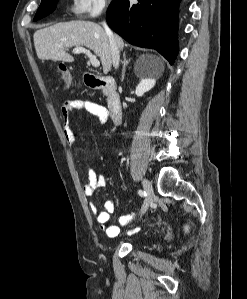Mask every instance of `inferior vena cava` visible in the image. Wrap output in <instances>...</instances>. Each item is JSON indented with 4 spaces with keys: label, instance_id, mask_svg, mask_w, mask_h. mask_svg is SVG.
I'll use <instances>...</instances> for the list:
<instances>
[{
    "label": "inferior vena cava",
    "instance_id": "1",
    "mask_svg": "<svg viewBox=\"0 0 247 299\" xmlns=\"http://www.w3.org/2000/svg\"><path fill=\"white\" fill-rule=\"evenodd\" d=\"M102 25H103L105 32L109 38L113 67L115 69H117L119 66V62H120V54H119V49L116 44L115 37L106 22H103Z\"/></svg>",
    "mask_w": 247,
    "mask_h": 299
}]
</instances>
